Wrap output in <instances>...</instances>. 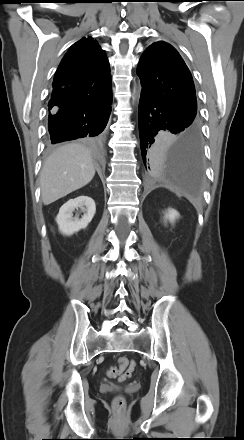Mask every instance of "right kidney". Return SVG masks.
I'll return each mask as SVG.
<instances>
[{"mask_svg":"<svg viewBox=\"0 0 244 440\" xmlns=\"http://www.w3.org/2000/svg\"><path fill=\"white\" fill-rule=\"evenodd\" d=\"M75 209H81L84 212L82 218L73 217ZM95 212V202L91 197L81 195L68 200L62 205L56 217L59 231L63 235L70 236L81 229H85L93 219Z\"/></svg>","mask_w":244,"mask_h":440,"instance_id":"obj_1","label":"right kidney"}]
</instances>
